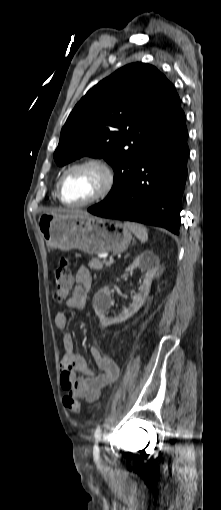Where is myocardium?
<instances>
[{
  "mask_svg": "<svg viewBox=\"0 0 221 510\" xmlns=\"http://www.w3.org/2000/svg\"><path fill=\"white\" fill-rule=\"evenodd\" d=\"M83 168H93L100 174L101 182L98 190L90 198L78 203H70L64 200L62 193L63 181L72 171ZM115 182V173L112 166L103 158L88 157L71 164L64 170L57 182V197L60 202L71 208L86 207L105 198L112 190Z\"/></svg>",
  "mask_w": 221,
  "mask_h": 510,
  "instance_id": "1",
  "label": "myocardium"
}]
</instances>
